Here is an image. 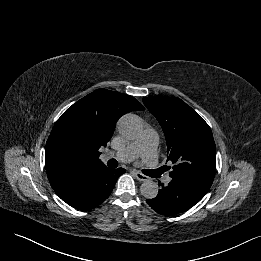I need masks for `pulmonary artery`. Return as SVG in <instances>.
Returning <instances> with one entry per match:
<instances>
[{"mask_svg":"<svg viewBox=\"0 0 261 261\" xmlns=\"http://www.w3.org/2000/svg\"><path fill=\"white\" fill-rule=\"evenodd\" d=\"M157 144L158 135L153 129H146L134 142L122 150L112 154L114 158L121 162H131L138 157H142L144 162L153 167L157 164ZM171 177H164L165 183L171 182Z\"/></svg>","mask_w":261,"mask_h":261,"instance_id":"1","label":"pulmonary artery"}]
</instances>
